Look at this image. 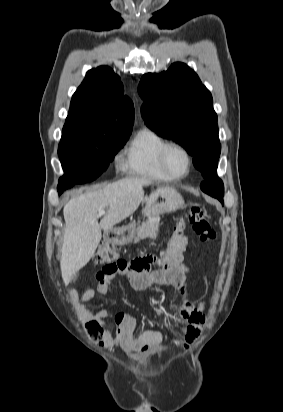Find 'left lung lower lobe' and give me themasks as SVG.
<instances>
[{"mask_svg": "<svg viewBox=\"0 0 283 412\" xmlns=\"http://www.w3.org/2000/svg\"><path fill=\"white\" fill-rule=\"evenodd\" d=\"M217 170V169H216ZM212 180H216V181H219V180H221L218 176H217V173H216V171L213 173V175H212ZM201 189L204 191L205 190V182H203L202 184H201ZM205 192V191H204ZM221 203H223V200H219Z\"/></svg>", "mask_w": 283, "mask_h": 412, "instance_id": "1", "label": "left lung lower lobe"}]
</instances>
